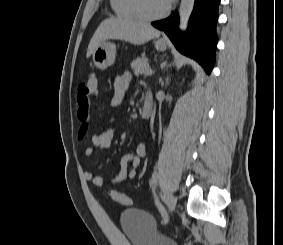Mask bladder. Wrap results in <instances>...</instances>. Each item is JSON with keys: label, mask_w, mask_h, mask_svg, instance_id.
Here are the masks:
<instances>
[{"label": "bladder", "mask_w": 283, "mask_h": 245, "mask_svg": "<svg viewBox=\"0 0 283 245\" xmlns=\"http://www.w3.org/2000/svg\"><path fill=\"white\" fill-rule=\"evenodd\" d=\"M119 223L131 245H177L160 231L154 217L144 210L128 208L122 211Z\"/></svg>", "instance_id": "bladder-1"}]
</instances>
